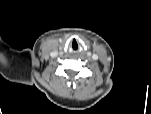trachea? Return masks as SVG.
Returning a JSON list of instances; mask_svg holds the SVG:
<instances>
[{
  "instance_id": "3493384b",
  "label": "trachea",
  "mask_w": 151,
  "mask_h": 114,
  "mask_svg": "<svg viewBox=\"0 0 151 114\" xmlns=\"http://www.w3.org/2000/svg\"><path fill=\"white\" fill-rule=\"evenodd\" d=\"M72 47L74 50H76L78 48V45L76 43L75 44L73 43Z\"/></svg>"
}]
</instances>
